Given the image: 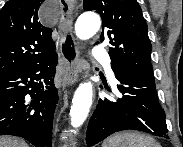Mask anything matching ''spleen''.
Wrapping results in <instances>:
<instances>
[{
	"label": "spleen",
	"instance_id": "obj_1",
	"mask_svg": "<svg viewBox=\"0 0 183 147\" xmlns=\"http://www.w3.org/2000/svg\"><path fill=\"white\" fill-rule=\"evenodd\" d=\"M102 147H161L151 136L138 132H119L105 140Z\"/></svg>",
	"mask_w": 183,
	"mask_h": 147
}]
</instances>
